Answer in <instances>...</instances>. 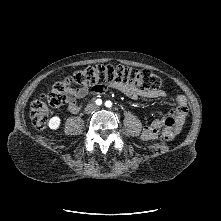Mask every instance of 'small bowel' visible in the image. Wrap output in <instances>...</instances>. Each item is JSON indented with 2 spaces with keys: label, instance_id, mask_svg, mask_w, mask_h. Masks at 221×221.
Listing matches in <instances>:
<instances>
[{
  "label": "small bowel",
  "instance_id": "obj_1",
  "mask_svg": "<svg viewBox=\"0 0 221 221\" xmlns=\"http://www.w3.org/2000/svg\"><path fill=\"white\" fill-rule=\"evenodd\" d=\"M113 89L119 91L131 99L146 98V99H163L166 97V93L163 90L158 91H142L134 86L124 84L121 82H112L100 86L96 90H90L87 88L76 89L71 92L67 101V110L71 113H78L80 111V106L77 102L79 99H83L89 94L100 95ZM173 117L176 120V130H179L185 120L187 115V104L186 99L182 95H178L175 99V107L172 110ZM164 125V119L159 118L152 121L149 125H146L141 133L143 140H153L156 139L160 129Z\"/></svg>",
  "mask_w": 221,
  "mask_h": 221
}]
</instances>
